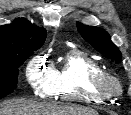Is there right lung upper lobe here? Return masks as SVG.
Returning a JSON list of instances; mask_svg holds the SVG:
<instances>
[{
    "mask_svg": "<svg viewBox=\"0 0 131 115\" xmlns=\"http://www.w3.org/2000/svg\"><path fill=\"white\" fill-rule=\"evenodd\" d=\"M46 30L31 24L24 18L16 19L12 24L0 26V64L22 51L42 46Z\"/></svg>",
    "mask_w": 131,
    "mask_h": 115,
    "instance_id": "1",
    "label": "right lung upper lobe"
}]
</instances>
